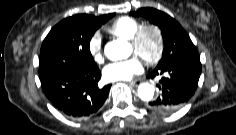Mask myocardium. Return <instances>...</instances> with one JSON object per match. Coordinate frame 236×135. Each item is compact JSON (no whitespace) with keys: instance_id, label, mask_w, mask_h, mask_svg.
Returning <instances> with one entry per match:
<instances>
[{"instance_id":"f54148a6","label":"myocardium","mask_w":236,"mask_h":135,"mask_svg":"<svg viewBox=\"0 0 236 135\" xmlns=\"http://www.w3.org/2000/svg\"><path fill=\"white\" fill-rule=\"evenodd\" d=\"M149 33L154 34L157 42L156 50L152 55L143 53V45ZM130 44L136 54H138L147 64H156L163 56L165 40L162 30L155 24H145L140 27Z\"/></svg>"}]
</instances>
